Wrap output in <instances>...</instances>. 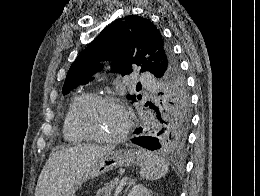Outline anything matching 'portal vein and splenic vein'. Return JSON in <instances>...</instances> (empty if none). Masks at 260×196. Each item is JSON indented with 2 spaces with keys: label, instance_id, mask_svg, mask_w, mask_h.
<instances>
[{
  "label": "portal vein and splenic vein",
  "instance_id": "portal-vein-and-splenic-vein-1",
  "mask_svg": "<svg viewBox=\"0 0 260 196\" xmlns=\"http://www.w3.org/2000/svg\"><path fill=\"white\" fill-rule=\"evenodd\" d=\"M127 179H129V176H124V178L119 182V186H117L115 190V196H118V193L124 190V185L127 182Z\"/></svg>",
  "mask_w": 260,
  "mask_h": 196
}]
</instances>
